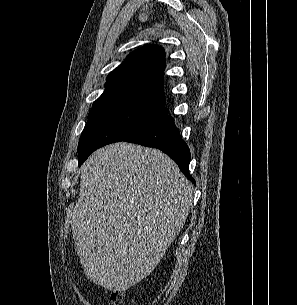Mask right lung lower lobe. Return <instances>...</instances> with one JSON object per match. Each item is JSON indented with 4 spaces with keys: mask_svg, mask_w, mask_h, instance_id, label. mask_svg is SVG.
Returning <instances> with one entry per match:
<instances>
[{
    "mask_svg": "<svg viewBox=\"0 0 297 305\" xmlns=\"http://www.w3.org/2000/svg\"><path fill=\"white\" fill-rule=\"evenodd\" d=\"M125 141L160 149L169 155L178 164L183 174L195 184V180L189 173L190 150L181 138L173 118L168 114L146 130Z\"/></svg>",
    "mask_w": 297,
    "mask_h": 305,
    "instance_id": "98d812e1",
    "label": "right lung lower lobe"
}]
</instances>
